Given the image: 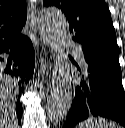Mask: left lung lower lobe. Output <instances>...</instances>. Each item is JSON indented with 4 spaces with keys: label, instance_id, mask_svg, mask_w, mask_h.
<instances>
[{
    "label": "left lung lower lobe",
    "instance_id": "1",
    "mask_svg": "<svg viewBox=\"0 0 125 128\" xmlns=\"http://www.w3.org/2000/svg\"><path fill=\"white\" fill-rule=\"evenodd\" d=\"M90 116L110 118L125 127V92L119 61L85 63L80 70L63 128H72Z\"/></svg>",
    "mask_w": 125,
    "mask_h": 128
}]
</instances>
